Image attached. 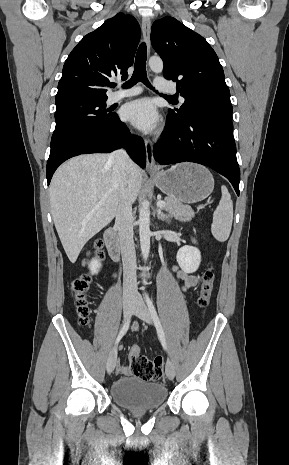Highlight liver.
<instances>
[{"mask_svg":"<svg viewBox=\"0 0 289 465\" xmlns=\"http://www.w3.org/2000/svg\"><path fill=\"white\" fill-rule=\"evenodd\" d=\"M108 154H86L63 163L50 184V206L55 228L71 263L95 234L116 216L126 197L135 202L141 188V169L130 160L123 179Z\"/></svg>","mask_w":289,"mask_h":465,"instance_id":"obj_1","label":"liver"}]
</instances>
